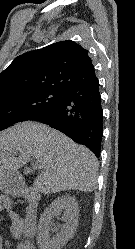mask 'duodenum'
<instances>
[{"mask_svg": "<svg viewBox=\"0 0 135 249\" xmlns=\"http://www.w3.org/2000/svg\"><path fill=\"white\" fill-rule=\"evenodd\" d=\"M22 192H23V196L25 197V199L29 202L28 211L30 213H34L35 215V212L38 209V204L40 200L39 194L32 187H26L22 190Z\"/></svg>", "mask_w": 135, "mask_h": 249, "instance_id": "duodenum-1", "label": "duodenum"}]
</instances>
